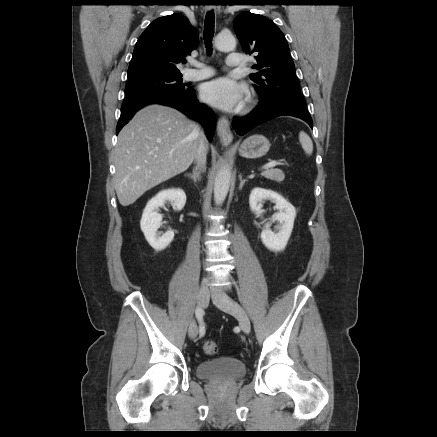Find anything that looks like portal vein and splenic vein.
Wrapping results in <instances>:
<instances>
[{
  "mask_svg": "<svg viewBox=\"0 0 437 437\" xmlns=\"http://www.w3.org/2000/svg\"><path fill=\"white\" fill-rule=\"evenodd\" d=\"M277 165H278V163H277L276 161H271V162L265 164V165L262 167V169L273 168V167H275V166H277Z\"/></svg>",
  "mask_w": 437,
  "mask_h": 437,
  "instance_id": "1",
  "label": "portal vein and splenic vein"
}]
</instances>
